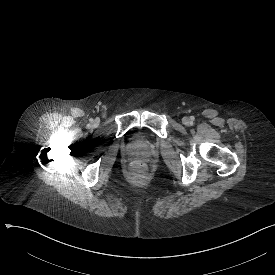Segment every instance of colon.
<instances>
[{"mask_svg":"<svg viewBox=\"0 0 275 275\" xmlns=\"http://www.w3.org/2000/svg\"><path fill=\"white\" fill-rule=\"evenodd\" d=\"M137 165L143 166L142 164L138 163Z\"/></svg>","mask_w":275,"mask_h":275,"instance_id":"obj_1","label":"colon"}]
</instances>
